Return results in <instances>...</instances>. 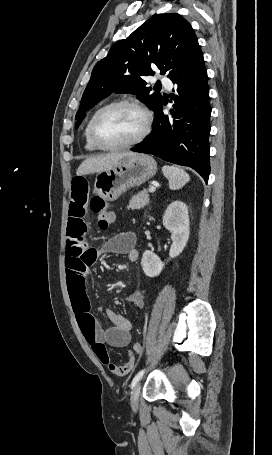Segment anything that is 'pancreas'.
<instances>
[{"label":"pancreas","instance_id":"cf45deb5","mask_svg":"<svg viewBox=\"0 0 272 455\" xmlns=\"http://www.w3.org/2000/svg\"><path fill=\"white\" fill-rule=\"evenodd\" d=\"M149 203V195L146 189L132 196L129 201L128 209L139 210Z\"/></svg>","mask_w":272,"mask_h":455}]
</instances>
